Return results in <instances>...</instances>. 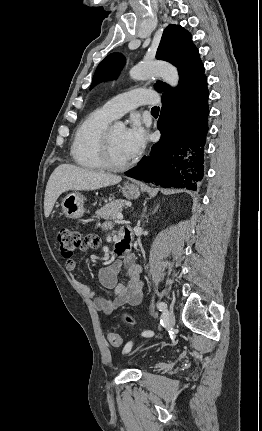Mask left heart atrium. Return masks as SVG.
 I'll list each match as a JSON object with an SVG mask.
<instances>
[{
    "mask_svg": "<svg viewBox=\"0 0 262 431\" xmlns=\"http://www.w3.org/2000/svg\"><path fill=\"white\" fill-rule=\"evenodd\" d=\"M147 142V134L138 120H133L124 131L122 145L125 153L131 159L138 156Z\"/></svg>",
    "mask_w": 262,
    "mask_h": 431,
    "instance_id": "obj_1",
    "label": "left heart atrium"
}]
</instances>
